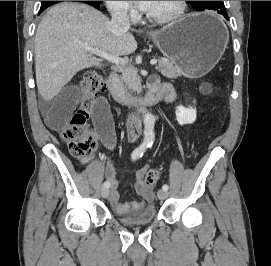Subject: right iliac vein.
<instances>
[{
    "label": "right iliac vein",
    "mask_w": 271,
    "mask_h": 266,
    "mask_svg": "<svg viewBox=\"0 0 271 266\" xmlns=\"http://www.w3.org/2000/svg\"><path fill=\"white\" fill-rule=\"evenodd\" d=\"M109 192H110L109 188H107L105 186L101 188V196L103 198H107L109 195Z\"/></svg>",
    "instance_id": "63e3f726"
}]
</instances>
